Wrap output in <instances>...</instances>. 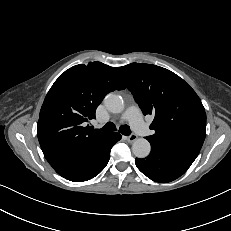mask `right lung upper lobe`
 <instances>
[{"instance_id": "right-lung-upper-lobe-1", "label": "right lung upper lobe", "mask_w": 231, "mask_h": 231, "mask_svg": "<svg viewBox=\"0 0 231 231\" xmlns=\"http://www.w3.org/2000/svg\"><path fill=\"white\" fill-rule=\"evenodd\" d=\"M125 87L118 68L101 62L79 64L66 70L47 93L38 120V140L52 167L89 152L109 133L86 126L111 91Z\"/></svg>"}]
</instances>
